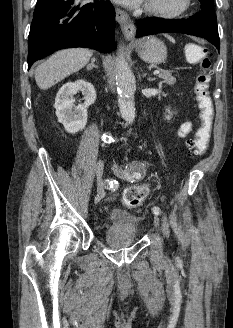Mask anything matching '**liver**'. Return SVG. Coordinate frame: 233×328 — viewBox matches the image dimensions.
Listing matches in <instances>:
<instances>
[{
	"mask_svg": "<svg viewBox=\"0 0 233 328\" xmlns=\"http://www.w3.org/2000/svg\"><path fill=\"white\" fill-rule=\"evenodd\" d=\"M93 51L86 48L64 49L54 53L35 70V80L40 89H48L82 69L90 60Z\"/></svg>",
	"mask_w": 233,
	"mask_h": 328,
	"instance_id": "obj_1",
	"label": "liver"
}]
</instances>
